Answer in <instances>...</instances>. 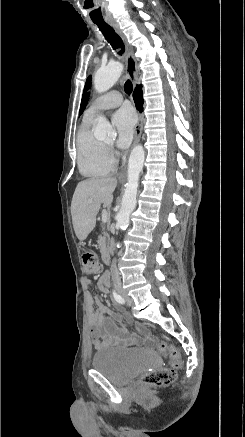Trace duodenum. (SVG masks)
Masks as SVG:
<instances>
[{"instance_id":"410a0bca","label":"duodenum","mask_w":245,"mask_h":437,"mask_svg":"<svg viewBox=\"0 0 245 437\" xmlns=\"http://www.w3.org/2000/svg\"><path fill=\"white\" fill-rule=\"evenodd\" d=\"M102 259L105 263H108L110 261V254L106 248L102 249ZM103 277H104L105 282H108V280H109L108 273H104Z\"/></svg>"}]
</instances>
